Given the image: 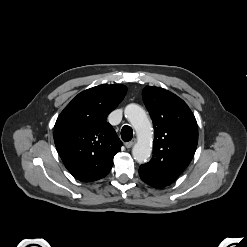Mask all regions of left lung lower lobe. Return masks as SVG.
<instances>
[{
    "instance_id": "1",
    "label": "left lung lower lobe",
    "mask_w": 247,
    "mask_h": 247,
    "mask_svg": "<svg viewBox=\"0 0 247 247\" xmlns=\"http://www.w3.org/2000/svg\"><path fill=\"white\" fill-rule=\"evenodd\" d=\"M139 175H140L141 179H142L145 183H147V184H149V185H151V186H153V187H155V188H163V187H164L162 184H160V183H158V182H156V181H154V180H152V179H149V178L145 177V176H144L143 174H141V173H139Z\"/></svg>"
}]
</instances>
